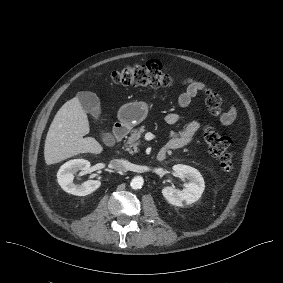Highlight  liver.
Here are the masks:
<instances>
[{"mask_svg": "<svg viewBox=\"0 0 283 283\" xmlns=\"http://www.w3.org/2000/svg\"><path fill=\"white\" fill-rule=\"evenodd\" d=\"M90 131L86 112L76 96L67 101L56 113L48 130L44 158L47 165L58 163L80 153L100 154L103 147Z\"/></svg>", "mask_w": 283, "mask_h": 283, "instance_id": "obj_1", "label": "liver"}]
</instances>
